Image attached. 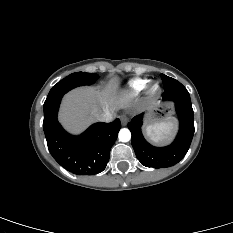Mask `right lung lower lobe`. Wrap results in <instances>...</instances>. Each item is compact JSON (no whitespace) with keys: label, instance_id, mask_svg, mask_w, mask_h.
I'll return each mask as SVG.
<instances>
[{"label":"right lung lower lobe","instance_id":"obj_1","mask_svg":"<svg viewBox=\"0 0 233 233\" xmlns=\"http://www.w3.org/2000/svg\"><path fill=\"white\" fill-rule=\"evenodd\" d=\"M63 96L44 103L43 129L53 158L66 170L77 175L102 172L110 157V149L121 128L119 119L111 123L98 122L80 136L67 133L57 120Z\"/></svg>","mask_w":233,"mask_h":233}]
</instances>
